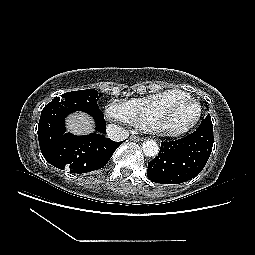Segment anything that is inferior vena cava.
I'll return each instance as SVG.
<instances>
[{
    "label": "inferior vena cava",
    "instance_id": "602c4592",
    "mask_svg": "<svg viewBox=\"0 0 255 255\" xmlns=\"http://www.w3.org/2000/svg\"><path fill=\"white\" fill-rule=\"evenodd\" d=\"M107 136L113 141L120 142L128 138L129 132L116 124L107 126Z\"/></svg>",
    "mask_w": 255,
    "mask_h": 255
}]
</instances>
